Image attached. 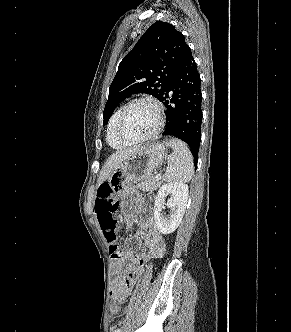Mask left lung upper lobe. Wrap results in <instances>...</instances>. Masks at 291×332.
I'll use <instances>...</instances> for the list:
<instances>
[{
	"label": "left lung upper lobe",
	"instance_id": "obj_1",
	"mask_svg": "<svg viewBox=\"0 0 291 332\" xmlns=\"http://www.w3.org/2000/svg\"><path fill=\"white\" fill-rule=\"evenodd\" d=\"M186 46L184 35L172 24H152L119 64L103 112L104 125L119 103L132 94L147 93L160 100Z\"/></svg>",
	"mask_w": 291,
	"mask_h": 332
}]
</instances>
